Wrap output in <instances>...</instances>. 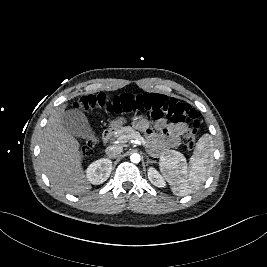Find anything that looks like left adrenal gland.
<instances>
[{"label":"left adrenal gland","mask_w":267,"mask_h":267,"mask_svg":"<svg viewBox=\"0 0 267 267\" xmlns=\"http://www.w3.org/2000/svg\"><path fill=\"white\" fill-rule=\"evenodd\" d=\"M146 157H147V162H146L147 164L154 162L153 160L149 159V156H146Z\"/></svg>","instance_id":"1"}]
</instances>
